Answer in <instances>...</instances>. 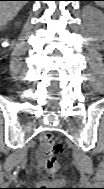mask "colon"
Segmentation results:
<instances>
[{"instance_id": "1", "label": "colon", "mask_w": 104, "mask_h": 189, "mask_svg": "<svg viewBox=\"0 0 104 189\" xmlns=\"http://www.w3.org/2000/svg\"><path fill=\"white\" fill-rule=\"evenodd\" d=\"M59 151L60 147L52 135L45 134L41 138L39 154L45 176H50L57 171L59 164L55 156Z\"/></svg>"}]
</instances>
